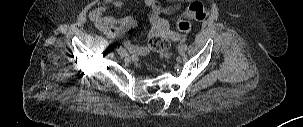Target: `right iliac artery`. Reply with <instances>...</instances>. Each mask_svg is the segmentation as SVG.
Segmentation results:
<instances>
[{"label":"right iliac artery","mask_w":303,"mask_h":127,"mask_svg":"<svg viewBox=\"0 0 303 127\" xmlns=\"http://www.w3.org/2000/svg\"><path fill=\"white\" fill-rule=\"evenodd\" d=\"M109 43L111 44V46L116 49L117 48V45L115 44L114 41L110 40Z\"/></svg>","instance_id":"right-iliac-artery-1"}]
</instances>
